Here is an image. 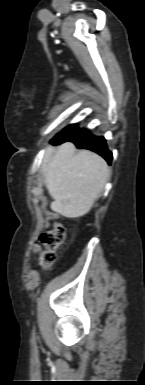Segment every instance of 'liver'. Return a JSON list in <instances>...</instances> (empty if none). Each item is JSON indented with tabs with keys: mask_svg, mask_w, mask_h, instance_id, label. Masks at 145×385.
Here are the masks:
<instances>
[{
	"mask_svg": "<svg viewBox=\"0 0 145 385\" xmlns=\"http://www.w3.org/2000/svg\"><path fill=\"white\" fill-rule=\"evenodd\" d=\"M44 182L54 199L51 208L67 218L87 214L109 178L106 161L89 150L76 151L71 142L49 146L41 167Z\"/></svg>",
	"mask_w": 145,
	"mask_h": 385,
	"instance_id": "obj_1",
	"label": "liver"
}]
</instances>
